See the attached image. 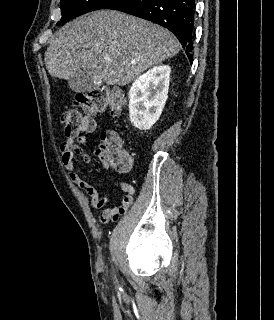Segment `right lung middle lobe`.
<instances>
[{
  "label": "right lung middle lobe",
  "mask_w": 274,
  "mask_h": 320,
  "mask_svg": "<svg viewBox=\"0 0 274 320\" xmlns=\"http://www.w3.org/2000/svg\"><path fill=\"white\" fill-rule=\"evenodd\" d=\"M113 0H61L62 18L57 25H62L69 19L83 15L85 13L103 9Z\"/></svg>",
  "instance_id": "1"
}]
</instances>
